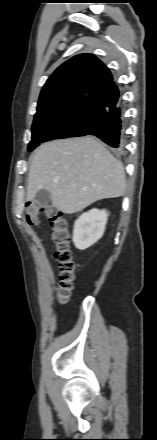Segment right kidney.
<instances>
[{"mask_svg":"<svg viewBox=\"0 0 157 440\" xmlns=\"http://www.w3.org/2000/svg\"><path fill=\"white\" fill-rule=\"evenodd\" d=\"M108 220L106 210L92 209L83 213L74 223L73 243L79 250L95 244L104 234Z\"/></svg>","mask_w":157,"mask_h":440,"instance_id":"obj_1","label":"right kidney"}]
</instances>
